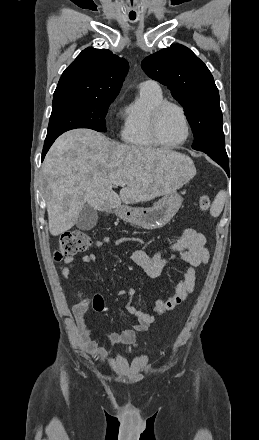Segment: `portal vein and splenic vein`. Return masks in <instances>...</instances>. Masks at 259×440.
<instances>
[{
	"instance_id": "1",
	"label": "portal vein and splenic vein",
	"mask_w": 259,
	"mask_h": 440,
	"mask_svg": "<svg viewBox=\"0 0 259 440\" xmlns=\"http://www.w3.org/2000/svg\"><path fill=\"white\" fill-rule=\"evenodd\" d=\"M114 185L125 186L126 183L123 180H117L114 182Z\"/></svg>"
}]
</instances>
